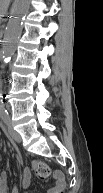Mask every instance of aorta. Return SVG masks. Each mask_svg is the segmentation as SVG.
Masks as SVG:
<instances>
[{
	"label": "aorta",
	"instance_id": "obj_1",
	"mask_svg": "<svg viewBox=\"0 0 103 193\" xmlns=\"http://www.w3.org/2000/svg\"><path fill=\"white\" fill-rule=\"evenodd\" d=\"M30 8V0H16L13 13L8 21L2 41V61L4 67L15 52L21 36L25 17Z\"/></svg>",
	"mask_w": 103,
	"mask_h": 193
}]
</instances>
